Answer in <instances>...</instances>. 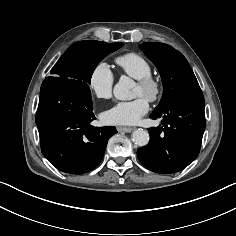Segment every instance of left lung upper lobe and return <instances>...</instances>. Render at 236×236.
Segmentation results:
<instances>
[{
  "instance_id": "5c2ea615",
  "label": "left lung upper lobe",
  "mask_w": 236,
  "mask_h": 236,
  "mask_svg": "<svg viewBox=\"0 0 236 236\" xmlns=\"http://www.w3.org/2000/svg\"><path fill=\"white\" fill-rule=\"evenodd\" d=\"M140 48L157 67L164 86L163 96L154 111L162 110L181 92L200 89L188 61L179 51L159 42H145Z\"/></svg>"
}]
</instances>
